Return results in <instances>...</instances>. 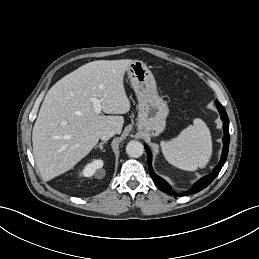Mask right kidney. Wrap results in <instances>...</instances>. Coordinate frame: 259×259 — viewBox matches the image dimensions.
<instances>
[{
	"label": "right kidney",
	"mask_w": 259,
	"mask_h": 259,
	"mask_svg": "<svg viewBox=\"0 0 259 259\" xmlns=\"http://www.w3.org/2000/svg\"><path fill=\"white\" fill-rule=\"evenodd\" d=\"M103 161L102 160H94L91 163L87 164L84 169L81 171L80 175L85 177H91L95 174V172L102 168Z\"/></svg>",
	"instance_id": "obj_1"
}]
</instances>
